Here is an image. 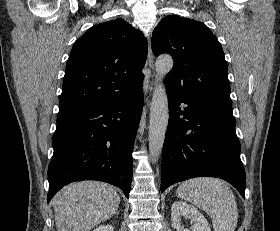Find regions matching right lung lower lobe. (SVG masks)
<instances>
[{
    "mask_svg": "<svg viewBox=\"0 0 280 231\" xmlns=\"http://www.w3.org/2000/svg\"><path fill=\"white\" fill-rule=\"evenodd\" d=\"M143 91L57 117L48 168L47 203L65 185L98 180L129 197L132 151L143 108Z\"/></svg>",
    "mask_w": 280,
    "mask_h": 231,
    "instance_id": "1",
    "label": "right lung lower lobe"
}]
</instances>
